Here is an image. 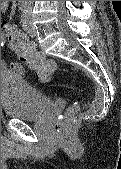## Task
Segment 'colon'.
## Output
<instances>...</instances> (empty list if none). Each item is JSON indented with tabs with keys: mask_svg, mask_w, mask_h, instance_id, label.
<instances>
[{
	"mask_svg": "<svg viewBox=\"0 0 121 169\" xmlns=\"http://www.w3.org/2000/svg\"><path fill=\"white\" fill-rule=\"evenodd\" d=\"M5 37L9 49L16 55L20 63L32 70L40 81L48 82L51 80L56 70V64L53 60L45 58L42 53L38 52L26 36L15 27L5 31ZM73 114L74 108H71L68 110L67 117L55 124L53 135L56 140L63 142L70 137Z\"/></svg>",
	"mask_w": 121,
	"mask_h": 169,
	"instance_id": "obj_1",
	"label": "colon"
}]
</instances>
